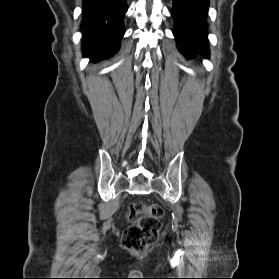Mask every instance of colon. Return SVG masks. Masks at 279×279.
Here are the masks:
<instances>
[{"label":"colon","mask_w":279,"mask_h":279,"mask_svg":"<svg viewBox=\"0 0 279 279\" xmlns=\"http://www.w3.org/2000/svg\"><path fill=\"white\" fill-rule=\"evenodd\" d=\"M163 208L156 204L136 201L131 204L127 219L130 225L123 236V246L132 252L146 251L160 235Z\"/></svg>","instance_id":"1"}]
</instances>
